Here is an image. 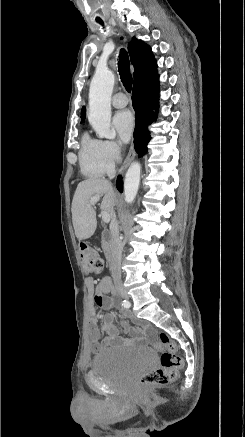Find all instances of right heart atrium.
<instances>
[{
    "mask_svg": "<svg viewBox=\"0 0 245 437\" xmlns=\"http://www.w3.org/2000/svg\"><path fill=\"white\" fill-rule=\"evenodd\" d=\"M100 146L101 157L107 173H111L122 159V145L115 140H102Z\"/></svg>",
    "mask_w": 245,
    "mask_h": 437,
    "instance_id": "1",
    "label": "right heart atrium"
}]
</instances>
